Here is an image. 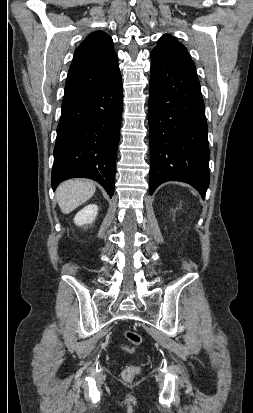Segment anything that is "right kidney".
I'll return each instance as SVG.
<instances>
[{
	"instance_id": "right-kidney-1",
	"label": "right kidney",
	"mask_w": 253,
	"mask_h": 413,
	"mask_svg": "<svg viewBox=\"0 0 253 413\" xmlns=\"http://www.w3.org/2000/svg\"><path fill=\"white\" fill-rule=\"evenodd\" d=\"M97 213L98 206L96 204L87 205L75 215L74 223L78 226L92 224L96 219Z\"/></svg>"
}]
</instances>
